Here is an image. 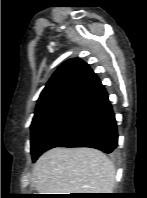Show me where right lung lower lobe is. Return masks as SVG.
<instances>
[{"label": "right lung lower lobe", "mask_w": 147, "mask_h": 198, "mask_svg": "<svg viewBox=\"0 0 147 198\" xmlns=\"http://www.w3.org/2000/svg\"><path fill=\"white\" fill-rule=\"evenodd\" d=\"M117 145L115 115L101 84L71 108L42 142L33 161L54 147H92L112 153Z\"/></svg>", "instance_id": "98d812e1"}]
</instances>
